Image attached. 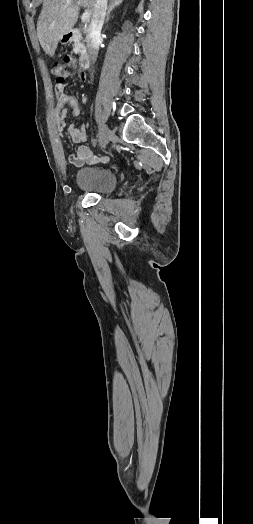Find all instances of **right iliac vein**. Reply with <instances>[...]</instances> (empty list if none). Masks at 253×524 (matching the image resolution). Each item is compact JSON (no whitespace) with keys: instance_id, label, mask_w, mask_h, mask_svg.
<instances>
[{"instance_id":"1","label":"right iliac vein","mask_w":253,"mask_h":524,"mask_svg":"<svg viewBox=\"0 0 253 524\" xmlns=\"http://www.w3.org/2000/svg\"><path fill=\"white\" fill-rule=\"evenodd\" d=\"M112 135H113L112 131L108 128L106 124L104 123L99 124V139H100L101 147L103 148L106 147Z\"/></svg>"}]
</instances>
